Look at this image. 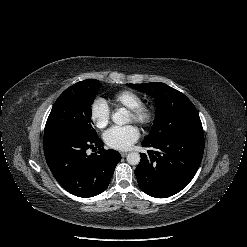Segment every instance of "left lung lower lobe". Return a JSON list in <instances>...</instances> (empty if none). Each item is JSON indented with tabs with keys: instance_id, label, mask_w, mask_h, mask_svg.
<instances>
[{
	"instance_id": "obj_1",
	"label": "left lung lower lobe",
	"mask_w": 247,
	"mask_h": 247,
	"mask_svg": "<svg viewBox=\"0 0 247 247\" xmlns=\"http://www.w3.org/2000/svg\"><path fill=\"white\" fill-rule=\"evenodd\" d=\"M148 148L135 169L140 189L155 198L170 197L185 188L202 161L205 139L178 136L142 143Z\"/></svg>"
}]
</instances>
